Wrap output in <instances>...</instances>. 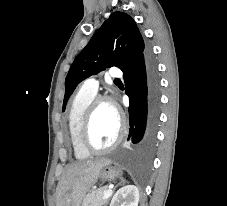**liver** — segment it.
I'll return each mask as SVG.
<instances>
[{
  "label": "liver",
  "mask_w": 227,
  "mask_h": 206,
  "mask_svg": "<svg viewBox=\"0 0 227 206\" xmlns=\"http://www.w3.org/2000/svg\"><path fill=\"white\" fill-rule=\"evenodd\" d=\"M109 160L82 161L70 165L58 183L56 206H80L85 193L98 180L102 167Z\"/></svg>",
  "instance_id": "6515ba94"
}]
</instances>
